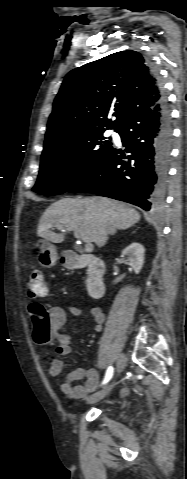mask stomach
Instances as JSON below:
<instances>
[{"instance_id": "stomach-1", "label": "stomach", "mask_w": 187, "mask_h": 479, "mask_svg": "<svg viewBox=\"0 0 187 479\" xmlns=\"http://www.w3.org/2000/svg\"><path fill=\"white\" fill-rule=\"evenodd\" d=\"M37 247L39 248L38 259L40 265L47 268L53 266L58 259L56 247L45 240H39Z\"/></svg>"}]
</instances>
